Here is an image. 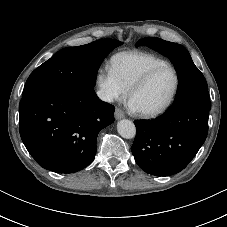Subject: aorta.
Here are the masks:
<instances>
[{
  "label": "aorta",
  "mask_w": 227,
  "mask_h": 227,
  "mask_svg": "<svg viewBox=\"0 0 227 227\" xmlns=\"http://www.w3.org/2000/svg\"><path fill=\"white\" fill-rule=\"evenodd\" d=\"M117 131L121 137L126 139H132L136 135L134 123L127 119H122L117 123Z\"/></svg>",
  "instance_id": "aorta-1"
}]
</instances>
